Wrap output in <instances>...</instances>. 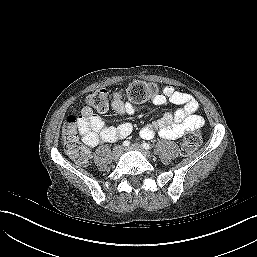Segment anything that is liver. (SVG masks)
<instances>
[{
  "label": "liver",
  "mask_w": 257,
  "mask_h": 257,
  "mask_svg": "<svg viewBox=\"0 0 257 257\" xmlns=\"http://www.w3.org/2000/svg\"><path fill=\"white\" fill-rule=\"evenodd\" d=\"M62 133H63V134H62V135H63L62 138H63V140H65V138H66V137H65V133H66L65 126H64L63 129H62Z\"/></svg>",
  "instance_id": "6515ba94"
}]
</instances>
